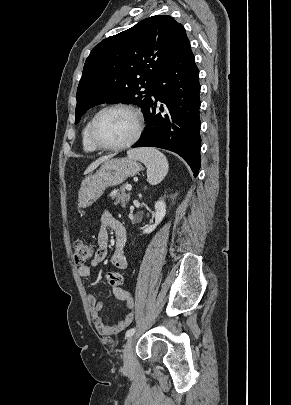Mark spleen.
Masks as SVG:
<instances>
[{"label":"spleen","mask_w":291,"mask_h":405,"mask_svg":"<svg viewBox=\"0 0 291 405\" xmlns=\"http://www.w3.org/2000/svg\"><path fill=\"white\" fill-rule=\"evenodd\" d=\"M128 157L146 166L147 180L151 185L160 183L168 173L169 165L165 155L155 148L133 149L128 151Z\"/></svg>","instance_id":"3e777b00"}]
</instances>
